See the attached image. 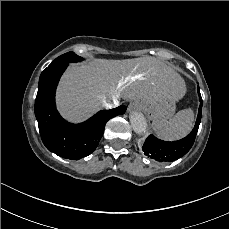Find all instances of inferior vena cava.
<instances>
[{
  "label": "inferior vena cava",
  "mask_w": 229,
  "mask_h": 229,
  "mask_svg": "<svg viewBox=\"0 0 229 229\" xmlns=\"http://www.w3.org/2000/svg\"><path fill=\"white\" fill-rule=\"evenodd\" d=\"M114 100V102H111L110 100H108V101H105L104 103H103V106L105 107V108H107V109H112V108H114L117 104V98H114L113 99Z\"/></svg>",
  "instance_id": "602c4592"
}]
</instances>
